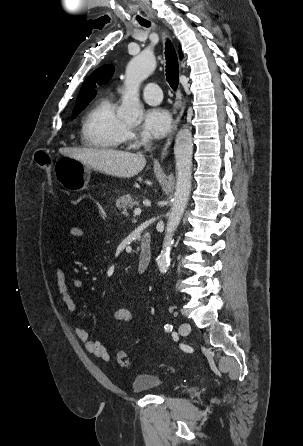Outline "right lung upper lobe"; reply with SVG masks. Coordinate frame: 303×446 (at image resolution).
Wrapping results in <instances>:
<instances>
[{"instance_id":"cb5924a9","label":"right lung upper lobe","mask_w":303,"mask_h":446,"mask_svg":"<svg viewBox=\"0 0 303 446\" xmlns=\"http://www.w3.org/2000/svg\"><path fill=\"white\" fill-rule=\"evenodd\" d=\"M180 54L182 57V53ZM113 72V66L108 65L95 70L90 77L83 82L74 108L88 104L96 95L95 87L107 83L111 79Z\"/></svg>"}]
</instances>
